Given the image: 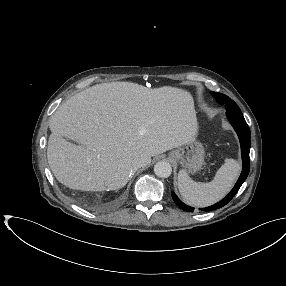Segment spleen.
I'll use <instances>...</instances> for the list:
<instances>
[{"label": "spleen", "mask_w": 286, "mask_h": 286, "mask_svg": "<svg viewBox=\"0 0 286 286\" xmlns=\"http://www.w3.org/2000/svg\"><path fill=\"white\" fill-rule=\"evenodd\" d=\"M241 170L240 163L226 159L214 179L208 183L195 182L184 171L178 174V189L183 200L190 206L207 207L224 198L232 189Z\"/></svg>", "instance_id": "1"}]
</instances>
